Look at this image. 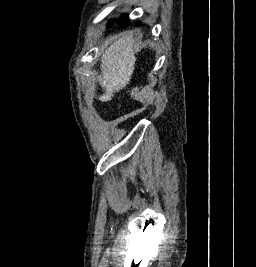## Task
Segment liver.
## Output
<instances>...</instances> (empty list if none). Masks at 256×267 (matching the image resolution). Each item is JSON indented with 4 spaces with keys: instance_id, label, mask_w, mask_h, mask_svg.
Segmentation results:
<instances>
[{
    "instance_id": "6515ba94",
    "label": "liver",
    "mask_w": 256,
    "mask_h": 267,
    "mask_svg": "<svg viewBox=\"0 0 256 267\" xmlns=\"http://www.w3.org/2000/svg\"><path fill=\"white\" fill-rule=\"evenodd\" d=\"M132 34H125L107 48L101 58L102 78L98 80L105 94L99 96L100 102H110L114 92L124 90L131 80L136 62Z\"/></svg>"
}]
</instances>
